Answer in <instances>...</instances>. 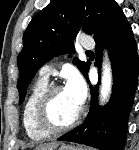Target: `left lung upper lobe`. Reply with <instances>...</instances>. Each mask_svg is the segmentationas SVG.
Instances as JSON below:
<instances>
[{
    "instance_id": "left-lung-upper-lobe-1",
    "label": "left lung upper lobe",
    "mask_w": 139,
    "mask_h": 150,
    "mask_svg": "<svg viewBox=\"0 0 139 150\" xmlns=\"http://www.w3.org/2000/svg\"><path fill=\"white\" fill-rule=\"evenodd\" d=\"M115 0H50L29 23L23 35V49L17 58L20 78L19 104L38 69L53 57L74 53L73 39L83 30L94 37L107 22ZM86 76L90 62L73 59Z\"/></svg>"
}]
</instances>
